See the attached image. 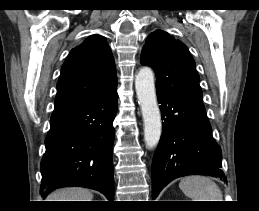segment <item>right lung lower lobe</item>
Masks as SVG:
<instances>
[{
	"label": "right lung lower lobe",
	"instance_id": "98d812e1",
	"mask_svg": "<svg viewBox=\"0 0 259 211\" xmlns=\"http://www.w3.org/2000/svg\"><path fill=\"white\" fill-rule=\"evenodd\" d=\"M117 92L91 102L54 110L41 161L40 193L82 186L114 198L112 147Z\"/></svg>",
	"mask_w": 259,
	"mask_h": 211
}]
</instances>
